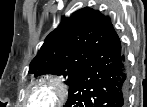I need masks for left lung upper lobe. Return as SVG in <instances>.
<instances>
[{"label": "left lung upper lobe", "instance_id": "left-lung-upper-lobe-1", "mask_svg": "<svg viewBox=\"0 0 147 107\" xmlns=\"http://www.w3.org/2000/svg\"><path fill=\"white\" fill-rule=\"evenodd\" d=\"M113 29L108 17L85 7L62 18L30 63L29 73L62 75L70 85L88 58Z\"/></svg>", "mask_w": 147, "mask_h": 107}]
</instances>
